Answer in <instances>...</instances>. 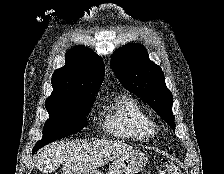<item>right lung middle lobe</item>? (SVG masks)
<instances>
[{
  "label": "right lung middle lobe",
  "mask_w": 224,
  "mask_h": 174,
  "mask_svg": "<svg viewBox=\"0 0 224 174\" xmlns=\"http://www.w3.org/2000/svg\"><path fill=\"white\" fill-rule=\"evenodd\" d=\"M93 100L94 97H86L68 102H46L49 119L44 125L43 138L34 149L77 133L87 126V116Z\"/></svg>",
  "instance_id": "1"
}]
</instances>
